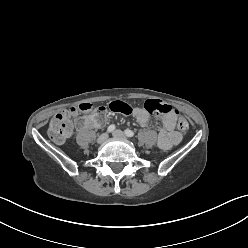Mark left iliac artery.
I'll return each instance as SVG.
<instances>
[{
  "mask_svg": "<svg viewBox=\"0 0 248 248\" xmlns=\"http://www.w3.org/2000/svg\"><path fill=\"white\" fill-rule=\"evenodd\" d=\"M125 134L128 137H133L134 136V132L132 130H130V129H126Z\"/></svg>",
  "mask_w": 248,
  "mask_h": 248,
  "instance_id": "left-iliac-artery-1",
  "label": "left iliac artery"
}]
</instances>
